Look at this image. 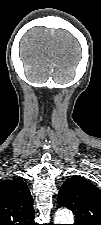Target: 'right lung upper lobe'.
I'll list each match as a JSON object with an SVG mask.
<instances>
[{"instance_id":"1","label":"right lung upper lobe","mask_w":101,"mask_h":225,"mask_svg":"<svg viewBox=\"0 0 101 225\" xmlns=\"http://www.w3.org/2000/svg\"><path fill=\"white\" fill-rule=\"evenodd\" d=\"M26 183L14 178L0 183V225H36Z\"/></svg>"}]
</instances>
